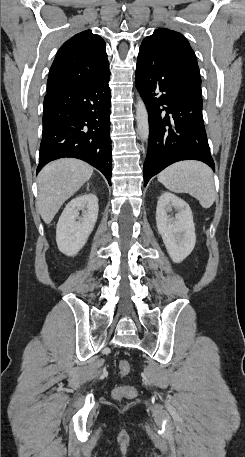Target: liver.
Listing matches in <instances>:
<instances>
[{
  "instance_id": "1",
  "label": "liver",
  "mask_w": 245,
  "mask_h": 457,
  "mask_svg": "<svg viewBox=\"0 0 245 457\" xmlns=\"http://www.w3.org/2000/svg\"><path fill=\"white\" fill-rule=\"evenodd\" d=\"M93 166L77 158H59L46 164L38 174L37 206L50 224L61 204L89 180Z\"/></svg>"
}]
</instances>
